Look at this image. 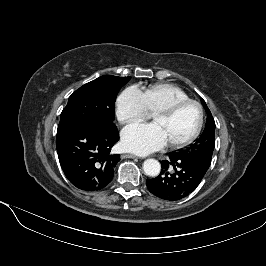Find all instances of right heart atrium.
<instances>
[{
	"instance_id": "d8ad5b80",
	"label": "right heart atrium",
	"mask_w": 266,
	"mask_h": 266,
	"mask_svg": "<svg viewBox=\"0 0 266 266\" xmlns=\"http://www.w3.org/2000/svg\"><path fill=\"white\" fill-rule=\"evenodd\" d=\"M116 114L121 123L144 120L149 113L141 90L135 86L124 89L117 98Z\"/></svg>"
}]
</instances>
